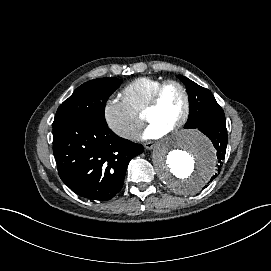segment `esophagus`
<instances>
[{"label": "esophagus", "mask_w": 271, "mask_h": 271, "mask_svg": "<svg viewBox=\"0 0 271 271\" xmlns=\"http://www.w3.org/2000/svg\"><path fill=\"white\" fill-rule=\"evenodd\" d=\"M154 146H155V142L154 141H149V142L144 143V147L146 149H152Z\"/></svg>", "instance_id": "1"}]
</instances>
